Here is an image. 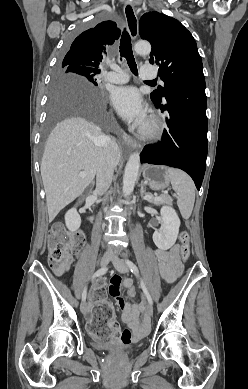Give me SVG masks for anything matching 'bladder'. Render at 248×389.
I'll use <instances>...</instances> for the list:
<instances>
[{
    "mask_svg": "<svg viewBox=\"0 0 248 389\" xmlns=\"http://www.w3.org/2000/svg\"><path fill=\"white\" fill-rule=\"evenodd\" d=\"M92 345L96 350L102 352H129L132 350L130 347L114 342H101L94 340Z\"/></svg>",
    "mask_w": 248,
    "mask_h": 389,
    "instance_id": "1",
    "label": "bladder"
}]
</instances>
